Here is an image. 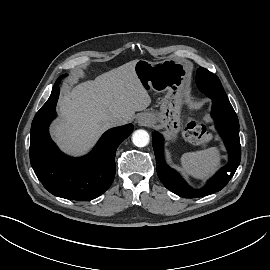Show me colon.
<instances>
[{
    "label": "colon",
    "mask_w": 270,
    "mask_h": 270,
    "mask_svg": "<svg viewBox=\"0 0 270 270\" xmlns=\"http://www.w3.org/2000/svg\"><path fill=\"white\" fill-rule=\"evenodd\" d=\"M187 139L195 144L206 146L211 141L210 132L197 118L190 117L185 128Z\"/></svg>",
    "instance_id": "obj_1"
}]
</instances>
